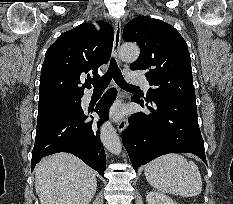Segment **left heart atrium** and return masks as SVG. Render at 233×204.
<instances>
[{
  "label": "left heart atrium",
  "mask_w": 233,
  "mask_h": 204,
  "mask_svg": "<svg viewBox=\"0 0 233 204\" xmlns=\"http://www.w3.org/2000/svg\"><path fill=\"white\" fill-rule=\"evenodd\" d=\"M113 114H114L115 116H118V115L120 114L119 108L116 107V108L113 110Z\"/></svg>",
  "instance_id": "left-heart-atrium-1"
}]
</instances>
